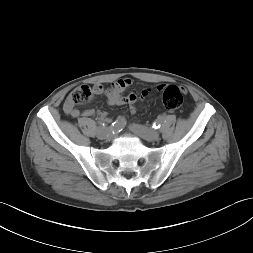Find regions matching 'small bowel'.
<instances>
[{
    "label": "small bowel",
    "mask_w": 253,
    "mask_h": 253,
    "mask_svg": "<svg viewBox=\"0 0 253 253\" xmlns=\"http://www.w3.org/2000/svg\"><path fill=\"white\" fill-rule=\"evenodd\" d=\"M132 84V80L129 78H121L115 81L111 87L105 89L102 84H95L93 86V92L97 95L100 94H105L107 98V102L110 105H129L130 111L132 113L135 112L136 107L135 104L138 100V96L136 94H128V95H123V91L127 89L130 85ZM161 88V87H160ZM148 94V91L145 90L142 92L141 97H145ZM64 111L65 113L72 117V118H78L80 115L90 117L94 115V110L92 109H87L83 112H80L78 109L75 107H71L68 105L66 102L64 105ZM100 120L102 121H107V114L104 111H100L98 113Z\"/></svg>",
    "instance_id": "obj_1"
}]
</instances>
